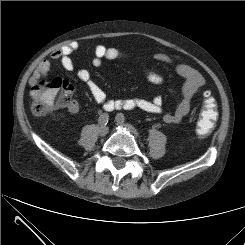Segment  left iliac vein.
<instances>
[{
    "label": "left iliac vein",
    "mask_w": 245,
    "mask_h": 245,
    "mask_svg": "<svg viewBox=\"0 0 245 245\" xmlns=\"http://www.w3.org/2000/svg\"><path fill=\"white\" fill-rule=\"evenodd\" d=\"M115 121L118 125L123 126L124 128H126L128 131H130L134 136H138L137 132L135 131V129L129 125V124H125L124 120L119 118L118 116H116Z\"/></svg>",
    "instance_id": "4c4485c4"
}]
</instances>
